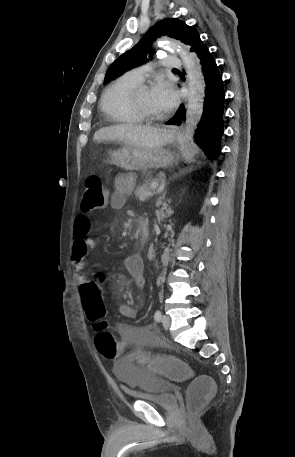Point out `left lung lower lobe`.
<instances>
[{
    "label": "left lung lower lobe",
    "instance_id": "obj_1",
    "mask_svg": "<svg viewBox=\"0 0 295 457\" xmlns=\"http://www.w3.org/2000/svg\"><path fill=\"white\" fill-rule=\"evenodd\" d=\"M199 58L206 84L204 108L201 120L195 132L197 143L209 159H215L220 152V139L223 134V114L225 93L218 66L207 46L199 38L191 47ZM186 111L181 105L167 124H181L185 121Z\"/></svg>",
    "mask_w": 295,
    "mask_h": 457
}]
</instances>
